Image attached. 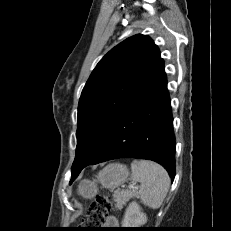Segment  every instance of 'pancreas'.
Masks as SVG:
<instances>
[{
  "label": "pancreas",
  "instance_id": "obj_1",
  "mask_svg": "<svg viewBox=\"0 0 231 231\" xmlns=\"http://www.w3.org/2000/svg\"><path fill=\"white\" fill-rule=\"evenodd\" d=\"M136 195L134 190H127L123 192H119L113 195V199L116 202L115 207L117 209H121L123 205H125L130 198H133Z\"/></svg>",
  "mask_w": 231,
  "mask_h": 231
}]
</instances>
